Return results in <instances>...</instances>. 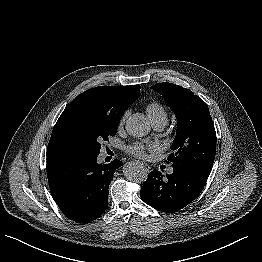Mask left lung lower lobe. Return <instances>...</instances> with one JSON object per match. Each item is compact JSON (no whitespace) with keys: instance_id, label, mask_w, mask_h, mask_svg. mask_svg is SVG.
<instances>
[{"instance_id":"obj_1","label":"left lung lower lobe","mask_w":262,"mask_h":262,"mask_svg":"<svg viewBox=\"0 0 262 262\" xmlns=\"http://www.w3.org/2000/svg\"><path fill=\"white\" fill-rule=\"evenodd\" d=\"M209 174L201 171L173 168L163 177L153 170L141 188V199L162 212L173 213L190 204L202 191Z\"/></svg>"}]
</instances>
